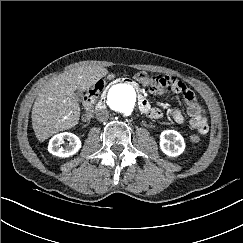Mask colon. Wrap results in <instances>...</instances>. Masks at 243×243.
Listing matches in <instances>:
<instances>
[{
  "label": "colon",
  "instance_id": "1",
  "mask_svg": "<svg viewBox=\"0 0 243 243\" xmlns=\"http://www.w3.org/2000/svg\"><path fill=\"white\" fill-rule=\"evenodd\" d=\"M134 80L146 85L150 86L151 88L163 86L166 84V80L164 76H154L150 77L145 72H138L134 75ZM104 88V81L99 80L94 86L88 89L84 95V105L86 109V115L89 114L92 105L94 104L98 95L102 92ZM190 141L192 143H199L200 137L198 135H191Z\"/></svg>",
  "mask_w": 243,
  "mask_h": 243
}]
</instances>
